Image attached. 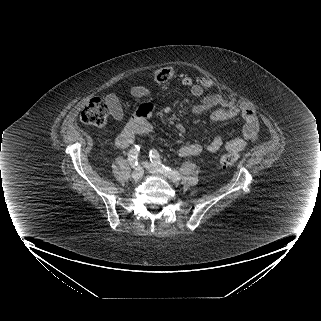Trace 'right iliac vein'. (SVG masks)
I'll list each match as a JSON object with an SVG mask.
<instances>
[{
    "instance_id": "obj_1",
    "label": "right iliac vein",
    "mask_w": 321,
    "mask_h": 321,
    "mask_svg": "<svg viewBox=\"0 0 321 321\" xmlns=\"http://www.w3.org/2000/svg\"><path fill=\"white\" fill-rule=\"evenodd\" d=\"M143 176V169L142 167L138 166L134 169L133 173H132V178L134 180H139L141 177Z\"/></svg>"
}]
</instances>
